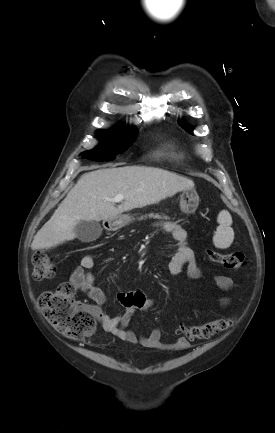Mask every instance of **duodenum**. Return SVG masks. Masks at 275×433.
Instances as JSON below:
<instances>
[{
  "label": "duodenum",
  "instance_id": "410a0bca",
  "mask_svg": "<svg viewBox=\"0 0 275 433\" xmlns=\"http://www.w3.org/2000/svg\"><path fill=\"white\" fill-rule=\"evenodd\" d=\"M105 224H106V226H107L108 228H110V229H113V228H114V223H113L111 220H107V221L105 222Z\"/></svg>",
  "mask_w": 275,
  "mask_h": 433
}]
</instances>
